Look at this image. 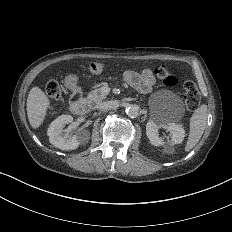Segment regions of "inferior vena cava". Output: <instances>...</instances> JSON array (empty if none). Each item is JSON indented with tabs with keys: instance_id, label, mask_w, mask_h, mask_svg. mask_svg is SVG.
Segmentation results:
<instances>
[{
	"instance_id": "602c4592",
	"label": "inferior vena cava",
	"mask_w": 232,
	"mask_h": 232,
	"mask_svg": "<svg viewBox=\"0 0 232 232\" xmlns=\"http://www.w3.org/2000/svg\"><path fill=\"white\" fill-rule=\"evenodd\" d=\"M119 104V102L117 100H109V101H105L100 105V109L102 110H108L111 109L115 106H117Z\"/></svg>"
}]
</instances>
